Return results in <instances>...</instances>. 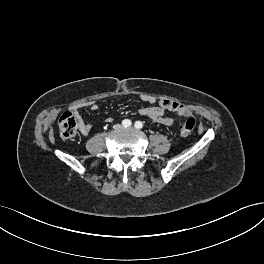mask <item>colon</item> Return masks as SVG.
Wrapping results in <instances>:
<instances>
[{"label": "colon", "instance_id": "colon-1", "mask_svg": "<svg viewBox=\"0 0 264 264\" xmlns=\"http://www.w3.org/2000/svg\"><path fill=\"white\" fill-rule=\"evenodd\" d=\"M196 121L193 117L183 119L178 126L182 137H188L192 134ZM59 133L63 139H71L75 136L78 128V120L73 112H65L58 121Z\"/></svg>", "mask_w": 264, "mask_h": 264}]
</instances>
